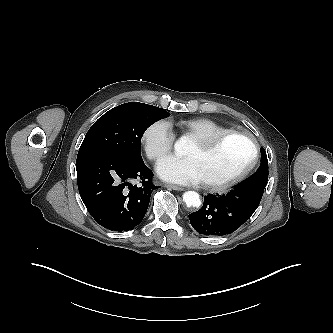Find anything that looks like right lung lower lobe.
Returning <instances> with one entry per match:
<instances>
[{
    "instance_id": "98d812e1",
    "label": "right lung lower lobe",
    "mask_w": 333,
    "mask_h": 333,
    "mask_svg": "<svg viewBox=\"0 0 333 333\" xmlns=\"http://www.w3.org/2000/svg\"><path fill=\"white\" fill-rule=\"evenodd\" d=\"M76 170L80 196L98 224L128 231L141 223L156 188L143 160L107 151L83 152L78 153ZM134 179L142 185L133 186Z\"/></svg>"
}]
</instances>
